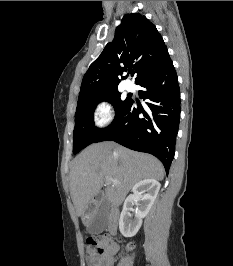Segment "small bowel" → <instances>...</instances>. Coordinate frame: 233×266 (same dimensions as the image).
<instances>
[{
  "instance_id": "small-bowel-1",
  "label": "small bowel",
  "mask_w": 233,
  "mask_h": 266,
  "mask_svg": "<svg viewBox=\"0 0 233 266\" xmlns=\"http://www.w3.org/2000/svg\"><path fill=\"white\" fill-rule=\"evenodd\" d=\"M117 250V244L111 240L105 245V250L103 252L89 248L87 263L89 266H112L114 262V255L116 254Z\"/></svg>"
}]
</instances>
